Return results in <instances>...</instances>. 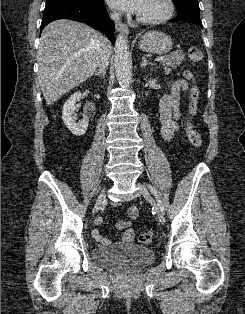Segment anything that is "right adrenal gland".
Here are the masks:
<instances>
[{"label":"right adrenal gland","instance_id":"obj_1","mask_svg":"<svg viewBox=\"0 0 245 314\" xmlns=\"http://www.w3.org/2000/svg\"><path fill=\"white\" fill-rule=\"evenodd\" d=\"M94 75L101 77V78H104L105 77V71L103 69L99 68L97 71H95Z\"/></svg>","mask_w":245,"mask_h":314}]
</instances>
